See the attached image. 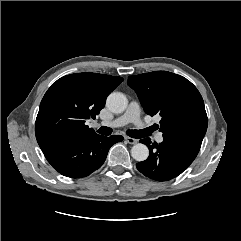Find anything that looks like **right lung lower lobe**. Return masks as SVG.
Returning a JSON list of instances; mask_svg holds the SVG:
<instances>
[{"label": "right lung lower lobe", "instance_id": "right-lung-lower-lobe-1", "mask_svg": "<svg viewBox=\"0 0 241 241\" xmlns=\"http://www.w3.org/2000/svg\"><path fill=\"white\" fill-rule=\"evenodd\" d=\"M123 140L120 135L104 137L94 134L64 140L42 149L52 167L64 176L82 178L104 163L110 147Z\"/></svg>", "mask_w": 241, "mask_h": 241}]
</instances>
